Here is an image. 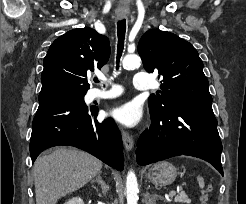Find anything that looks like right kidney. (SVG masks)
I'll return each instance as SVG.
<instances>
[{"label":"right kidney","instance_id":"obj_1","mask_svg":"<svg viewBox=\"0 0 246 204\" xmlns=\"http://www.w3.org/2000/svg\"><path fill=\"white\" fill-rule=\"evenodd\" d=\"M64 204H84V202L80 197H73L66 201Z\"/></svg>","mask_w":246,"mask_h":204}]
</instances>
